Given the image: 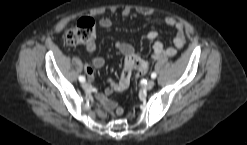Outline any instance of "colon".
<instances>
[{
    "label": "colon",
    "instance_id": "obj_1",
    "mask_svg": "<svg viewBox=\"0 0 247 145\" xmlns=\"http://www.w3.org/2000/svg\"><path fill=\"white\" fill-rule=\"evenodd\" d=\"M95 38V22L89 17L81 18L73 27L65 32L64 40L67 44L72 46L89 45ZM135 65L139 62L135 58L133 60ZM123 77L126 79L129 76L128 68L124 66L122 71Z\"/></svg>",
    "mask_w": 247,
    "mask_h": 145
}]
</instances>
